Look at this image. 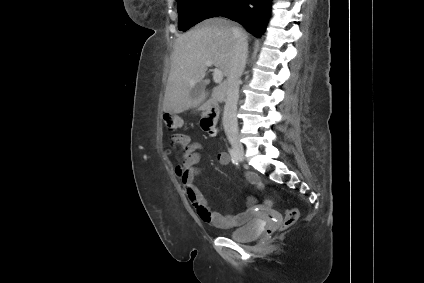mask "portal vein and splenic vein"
<instances>
[{
	"label": "portal vein and splenic vein",
	"instance_id": "18ae733b",
	"mask_svg": "<svg viewBox=\"0 0 424 283\" xmlns=\"http://www.w3.org/2000/svg\"><path fill=\"white\" fill-rule=\"evenodd\" d=\"M206 65L208 67H212L213 63H212V61H207ZM223 77H224V75H223V73L220 69H218V68L213 69V80L216 84H220L223 80Z\"/></svg>",
	"mask_w": 424,
	"mask_h": 283
}]
</instances>
